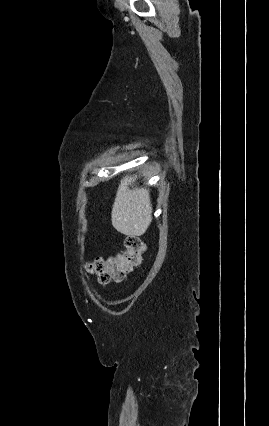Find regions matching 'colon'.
<instances>
[{
  "label": "colon",
  "instance_id": "5ec220e1",
  "mask_svg": "<svg viewBox=\"0 0 269 426\" xmlns=\"http://www.w3.org/2000/svg\"><path fill=\"white\" fill-rule=\"evenodd\" d=\"M124 249L115 254L96 257L87 266V272L95 277L98 283L122 281L126 274L140 264L142 255L146 251V245L142 239L135 235L124 237Z\"/></svg>",
  "mask_w": 269,
  "mask_h": 426
}]
</instances>
